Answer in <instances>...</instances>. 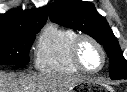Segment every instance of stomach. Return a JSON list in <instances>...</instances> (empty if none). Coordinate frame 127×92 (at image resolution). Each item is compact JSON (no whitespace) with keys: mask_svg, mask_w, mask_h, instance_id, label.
<instances>
[{"mask_svg":"<svg viewBox=\"0 0 127 92\" xmlns=\"http://www.w3.org/2000/svg\"><path fill=\"white\" fill-rule=\"evenodd\" d=\"M86 84L84 83V84H82V85H80V88H84V86H85Z\"/></svg>","mask_w":127,"mask_h":92,"instance_id":"0dacf381","label":"stomach"}]
</instances>
